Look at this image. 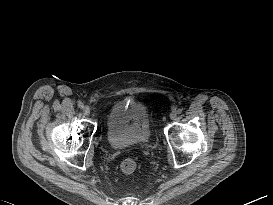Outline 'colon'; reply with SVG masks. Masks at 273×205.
Returning <instances> with one entry per match:
<instances>
[{"mask_svg":"<svg viewBox=\"0 0 273 205\" xmlns=\"http://www.w3.org/2000/svg\"><path fill=\"white\" fill-rule=\"evenodd\" d=\"M136 169V162L133 159H125L121 164V170L125 174H131Z\"/></svg>","mask_w":273,"mask_h":205,"instance_id":"1","label":"colon"}]
</instances>
